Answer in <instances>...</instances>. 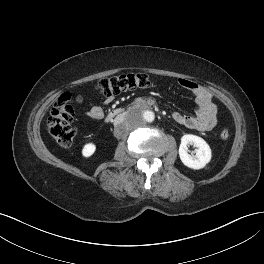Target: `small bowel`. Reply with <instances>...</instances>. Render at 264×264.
Wrapping results in <instances>:
<instances>
[{"instance_id": "obj_1", "label": "small bowel", "mask_w": 264, "mask_h": 264, "mask_svg": "<svg viewBox=\"0 0 264 264\" xmlns=\"http://www.w3.org/2000/svg\"><path fill=\"white\" fill-rule=\"evenodd\" d=\"M178 84L191 91L195 95V115L189 116L179 112H173L172 118L178 124L186 128L201 132L210 131L216 124L217 107L211 94L201 85L189 79H179ZM113 101V96L105 97L101 105L92 106L86 111V115L94 120H101L105 114V106Z\"/></svg>"}]
</instances>
